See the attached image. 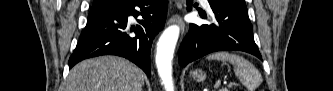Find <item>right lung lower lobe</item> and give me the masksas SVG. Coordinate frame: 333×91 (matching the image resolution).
I'll list each match as a JSON object with an SVG mask.
<instances>
[{"instance_id": "98d812e1", "label": "right lung lower lobe", "mask_w": 333, "mask_h": 91, "mask_svg": "<svg viewBox=\"0 0 333 91\" xmlns=\"http://www.w3.org/2000/svg\"><path fill=\"white\" fill-rule=\"evenodd\" d=\"M135 7H139L140 12ZM167 9L168 0H131L118 8L91 10L69 67L83 59L117 55L134 62L150 77V49L154 37L164 27ZM130 15L143 17L131 29L127 25ZM129 29L135 35L130 34Z\"/></svg>"}]
</instances>
